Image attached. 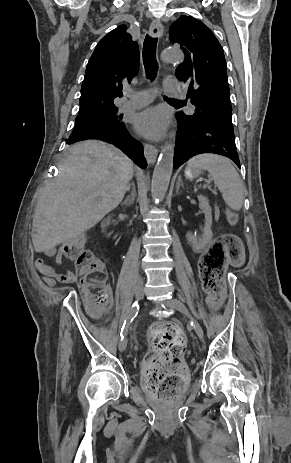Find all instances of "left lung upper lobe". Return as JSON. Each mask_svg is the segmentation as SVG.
Here are the masks:
<instances>
[{"instance_id": "5c2ea615", "label": "left lung upper lobe", "mask_w": 291, "mask_h": 463, "mask_svg": "<svg viewBox=\"0 0 291 463\" xmlns=\"http://www.w3.org/2000/svg\"><path fill=\"white\" fill-rule=\"evenodd\" d=\"M170 40L180 44L185 60L176 76L189 86L188 96L196 106L184 117L233 129L227 66L223 48L201 21L182 16L170 27Z\"/></svg>"}]
</instances>
